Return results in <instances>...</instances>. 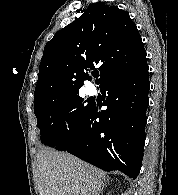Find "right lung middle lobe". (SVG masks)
<instances>
[{"label":"right lung middle lobe","instance_id":"1","mask_svg":"<svg viewBox=\"0 0 178 195\" xmlns=\"http://www.w3.org/2000/svg\"><path fill=\"white\" fill-rule=\"evenodd\" d=\"M84 101L77 93L51 99L34 108L37 126L41 133V142L48 146H57L64 139H70L79 120L86 114L92 103ZM69 123V130L64 121Z\"/></svg>","mask_w":178,"mask_h":195}]
</instances>
